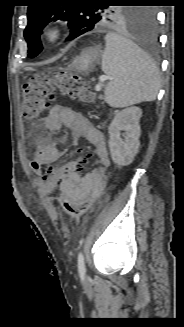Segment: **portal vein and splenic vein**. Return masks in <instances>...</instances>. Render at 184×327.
<instances>
[{"label": "portal vein and splenic vein", "mask_w": 184, "mask_h": 327, "mask_svg": "<svg viewBox=\"0 0 184 327\" xmlns=\"http://www.w3.org/2000/svg\"><path fill=\"white\" fill-rule=\"evenodd\" d=\"M108 79H109V78H108L107 76H101V77L99 78L100 83L97 84L96 87H95L96 91H100V90H101L102 83H103L104 81L108 80Z\"/></svg>", "instance_id": "18ae733b"}]
</instances>
